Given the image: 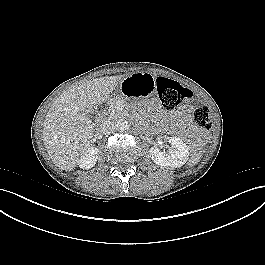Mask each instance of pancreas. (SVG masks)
<instances>
[{
	"instance_id": "1",
	"label": "pancreas",
	"mask_w": 265,
	"mask_h": 265,
	"mask_svg": "<svg viewBox=\"0 0 265 265\" xmlns=\"http://www.w3.org/2000/svg\"><path fill=\"white\" fill-rule=\"evenodd\" d=\"M119 102H124V99L120 96H116L110 100L109 112L111 118H121L122 107L118 105Z\"/></svg>"
}]
</instances>
